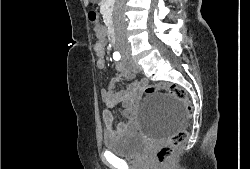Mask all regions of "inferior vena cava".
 <instances>
[{
  "instance_id": "1",
  "label": "inferior vena cava",
  "mask_w": 250,
  "mask_h": 169,
  "mask_svg": "<svg viewBox=\"0 0 250 169\" xmlns=\"http://www.w3.org/2000/svg\"><path fill=\"white\" fill-rule=\"evenodd\" d=\"M124 4L125 0H115L112 20L116 32H120V30H123V32H125L126 30Z\"/></svg>"
}]
</instances>
